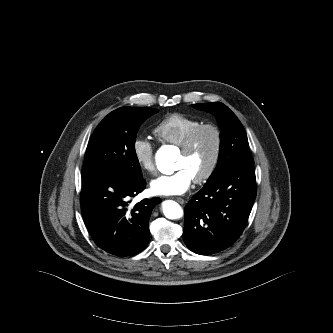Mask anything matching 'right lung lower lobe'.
<instances>
[{"label": "right lung lower lobe", "mask_w": 333, "mask_h": 333, "mask_svg": "<svg viewBox=\"0 0 333 333\" xmlns=\"http://www.w3.org/2000/svg\"><path fill=\"white\" fill-rule=\"evenodd\" d=\"M82 215L94 242L116 256L139 253L149 238V218L160 198H131L146 186L142 178L118 172H82Z\"/></svg>", "instance_id": "right-lung-lower-lobe-1"}]
</instances>
